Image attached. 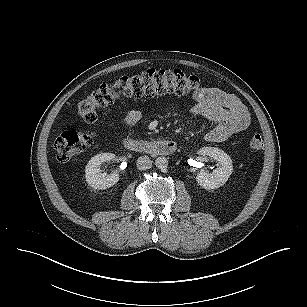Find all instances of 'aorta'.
Instances as JSON below:
<instances>
[{"label":"aorta","instance_id":"obj_1","mask_svg":"<svg viewBox=\"0 0 307 307\" xmlns=\"http://www.w3.org/2000/svg\"><path fill=\"white\" fill-rule=\"evenodd\" d=\"M155 165L158 169H165L168 166L167 158L160 156L155 160Z\"/></svg>","mask_w":307,"mask_h":307}]
</instances>
